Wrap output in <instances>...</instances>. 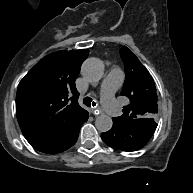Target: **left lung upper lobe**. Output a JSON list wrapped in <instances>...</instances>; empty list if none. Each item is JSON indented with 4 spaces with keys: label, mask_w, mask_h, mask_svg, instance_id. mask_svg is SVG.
<instances>
[{
    "label": "left lung upper lobe",
    "mask_w": 193,
    "mask_h": 193,
    "mask_svg": "<svg viewBox=\"0 0 193 193\" xmlns=\"http://www.w3.org/2000/svg\"><path fill=\"white\" fill-rule=\"evenodd\" d=\"M120 54L126 74L121 95L128 97L130 104L124 107L121 117L114 119L121 123L133 120L138 123L155 122L158 99L152 77L130 49L124 46Z\"/></svg>",
    "instance_id": "5c2ea615"
}]
</instances>
